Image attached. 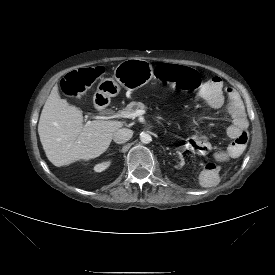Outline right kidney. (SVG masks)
<instances>
[{
	"instance_id": "1",
	"label": "right kidney",
	"mask_w": 275,
	"mask_h": 275,
	"mask_svg": "<svg viewBox=\"0 0 275 275\" xmlns=\"http://www.w3.org/2000/svg\"><path fill=\"white\" fill-rule=\"evenodd\" d=\"M110 163H111L110 161L99 163L95 165L94 170L96 172H102L110 166Z\"/></svg>"
}]
</instances>
